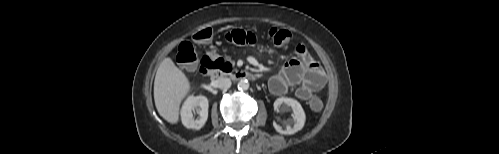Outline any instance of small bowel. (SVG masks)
<instances>
[{
    "instance_id": "1",
    "label": "small bowel",
    "mask_w": 499,
    "mask_h": 154,
    "mask_svg": "<svg viewBox=\"0 0 499 154\" xmlns=\"http://www.w3.org/2000/svg\"><path fill=\"white\" fill-rule=\"evenodd\" d=\"M227 41L240 45H254L257 42L255 34L242 29H234L226 34ZM296 57L285 63L281 71L269 80L272 94L281 96L297 86L296 96L300 100H309L325 85V74L321 66L310 56L306 46H295Z\"/></svg>"
}]
</instances>
